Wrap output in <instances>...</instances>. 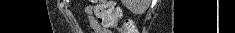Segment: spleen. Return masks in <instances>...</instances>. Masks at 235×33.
Listing matches in <instances>:
<instances>
[{
    "instance_id": "1",
    "label": "spleen",
    "mask_w": 235,
    "mask_h": 33,
    "mask_svg": "<svg viewBox=\"0 0 235 33\" xmlns=\"http://www.w3.org/2000/svg\"><path fill=\"white\" fill-rule=\"evenodd\" d=\"M148 2H149V0H146V4L143 5L142 7L138 8V11H141V10L146 9V8H147V5H148Z\"/></svg>"
}]
</instances>
